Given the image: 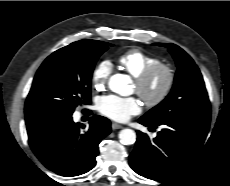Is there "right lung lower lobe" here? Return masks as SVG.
Segmentation results:
<instances>
[{
  "label": "right lung lower lobe",
  "instance_id": "obj_1",
  "mask_svg": "<svg viewBox=\"0 0 230 186\" xmlns=\"http://www.w3.org/2000/svg\"><path fill=\"white\" fill-rule=\"evenodd\" d=\"M25 121L35 155L49 170L66 177L91 170L99 143L111 132L110 121L98 115L91 117L87 131L73 122L72 115L39 114Z\"/></svg>",
  "mask_w": 230,
  "mask_h": 186
}]
</instances>
